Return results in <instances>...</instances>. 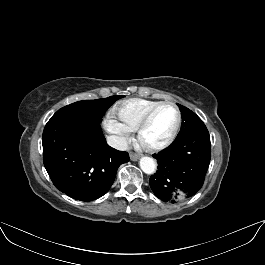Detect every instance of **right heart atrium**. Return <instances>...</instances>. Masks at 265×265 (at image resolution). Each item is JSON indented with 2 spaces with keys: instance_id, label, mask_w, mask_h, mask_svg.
<instances>
[{
  "instance_id": "obj_1",
  "label": "right heart atrium",
  "mask_w": 265,
  "mask_h": 265,
  "mask_svg": "<svg viewBox=\"0 0 265 265\" xmlns=\"http://www.w3.org/2000/svg\"><path fill=\"white\" fill-rule=\"evenodd\" d=\"M104 126L115 137V141L119 147L126 146L129 141L130 131L115 118L113 113L106 115Z\"/></svg>"
}]
</instances>
